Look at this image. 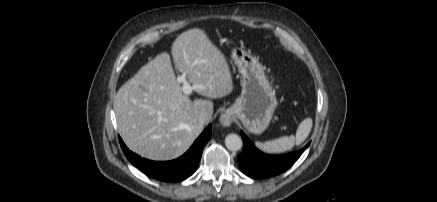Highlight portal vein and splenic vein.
<instances>
[{
    "mask_svg": "<svg viewBox=\"0 0 437 202\" xmlns=\"http://www.w3.org/2000/svg\"><path fill=\"white\" fill-rule=\"evenodd\" d=\"M177 82L181 83L183 85L182 89L184 94L189 95L192 93V91L196 88V86H191L189 82L186 79V74L183 73L182 75L177 77Z\"/></svg>",
    "mask_w": 437,
    "mask_h": 202,
    "instance_id": "1",
    "label": "portal vein and splenic vein"
}]
</instances>
